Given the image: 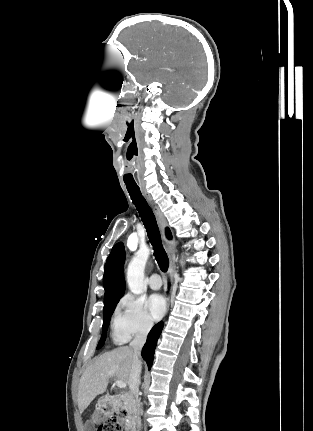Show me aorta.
Instances as JSON below:
<instances>
[{"label":"aorta","mask_w":313,"mask_h":431,"mask_svg":"<svg viewBox=\"0 0 313 431\" xmlns=\"http://www.w3.org/2000/svg\"><path fill=\"white\" fill-rule=\"evenodd\" d=\"M149 255L150 250L148 248L139 249L128 265L127 283L130 291L135 295L143 292L144 270Z\"/></svg>","instance_id":"762f6f07"}]
</instances>
